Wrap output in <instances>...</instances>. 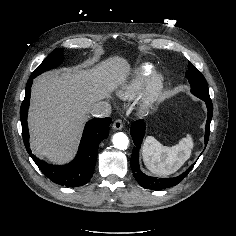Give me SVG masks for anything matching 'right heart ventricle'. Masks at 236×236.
I'll list each match as a JSON object with an SVG mask.
<instances>
[{
    "label": "right heart ventricle",
    "instance_id": "right-heart-ventricle-1",
    "mask_svg": "<svg viewBox=\"0 0 236 236\" xmlns=\"http://www.w3.org/2000/svg\"><path fill=\"white\" fill-rule=\"evenodd\" d=\"M154 72V67L150 64H143L137 70L134 78L122 88L120 96L124 99H129L135 96L146 81L151 77Z\"/></svg>",
    "mask_w": 236,
    "mask_h": 236
}]
</instances>
